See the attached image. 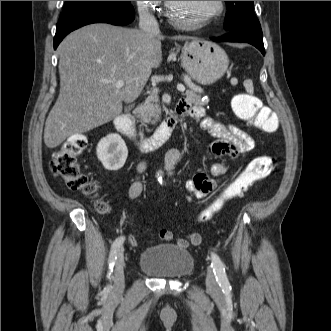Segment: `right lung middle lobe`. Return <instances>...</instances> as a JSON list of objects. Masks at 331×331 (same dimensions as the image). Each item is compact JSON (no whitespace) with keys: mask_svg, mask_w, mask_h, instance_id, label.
I'll use <instances>...</instances> for the list:
<instances>
[{"mask_svg":"<svg viewBox=\"0 0 331 331\" xmlns=\"http://www.w3.org/2000/svg\"><path fill=\"white\" fill-rule=\"evenodd\" d=\"M130 4V1H66L59 22L104 7Z\"/></svg>","mask_w":331,"mask_h":331,"instance_id":"1","label":"right lung middle lobe"}]
</instances>
